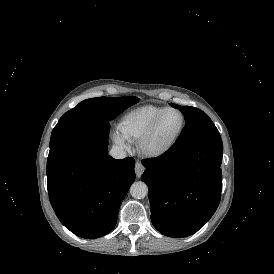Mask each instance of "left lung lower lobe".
Segmentation results:
<instances>
[{
  "label": "left lung lower lobe",
  "instance_id": "left-lung-lower-lobe-1",
  "mask_svg": "<svg viewBox=\"0 0 274 274\" xmlns=\"http://www.w3.org/2000/svg\"><path fill=\"white\" fill-rule=\"evenodd\" d=\"M221 138L172 146L143 160L151 221L162 234L181 238L197 232L216 211L222 191Z\"/></svg>",
  "mask_w": 274,
  "mask_h": 274
}]
</instances>
